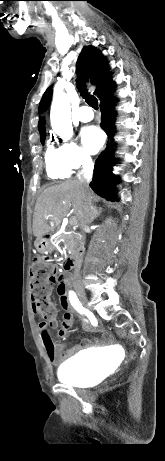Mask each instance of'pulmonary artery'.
<instances>
[{"label": "pulmonary artery", "instance_id": "obj_1", "mask_svg": "<svg viewBox=\"0 0 165 461\" xmlns=\"http://www.w3.org/2000/svg\"><path fill=\"white\" fill-rule=\"evenodd\" d=\"M77 117L82 122H89L93 119L94 114L90 107L82 106L77 111Z\"/></svg>", "mask_w": 165, "mask_h": 461}]
</instances>
